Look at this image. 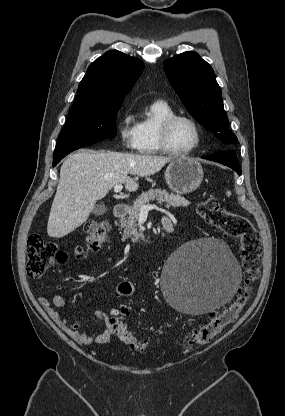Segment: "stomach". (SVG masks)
<instances>
[{
	"label": "stomach",
	"instance_id": "0dacf381",
	"mask_svg": "<svg viewBox=\"0 0 285 416\" xmlns=\"http://www.w3.org/2000/svg\"><path fill=\"white\" fill-rule=\"evenodd\" d=\"M203 168L194 158H176L170 162L165 180L168 188L176 194H191L203 180Z\"/></svg>",
	"mask_w": 285,
	"mask_h": 416
}]
</instances>
